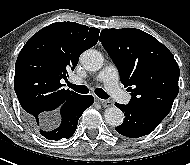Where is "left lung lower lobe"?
<instances>
[{
	"label": "left lung lower lobe",
	"mask_w": 190,
	"mask_h": 165,
	"mask_svg": "<svg viewBox=\"0 0 190 165\" xmlns=\"http://www.w3.org/2000/svg\"><path fill=\"white\" fill-rule=\"evenodd\" d=\"M125 115L123 123L115 130L126 137L138 138L151 133L169 112L157 108L137 106L131 103H115Z\"/></svg>",
	"instance_id": "left-lung-lower-lobe-1"
}]
</instances>
